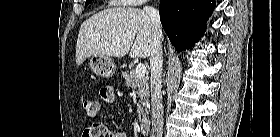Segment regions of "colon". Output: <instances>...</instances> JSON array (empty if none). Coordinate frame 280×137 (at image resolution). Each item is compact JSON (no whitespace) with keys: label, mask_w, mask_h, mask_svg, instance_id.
<instances>
[{"label":"colon","mask_w":280,"mask_h":137,"mask_svg":"<svg viewBox=\"0 0 280 137\" xmlns=\"http://www.w3.org/2000/svg\"><path fill=\"white\" fill-rule=\"evenodd\" d=\"M102 99L105 102H112V101L115 100V94H114V92H109L107 90H102ZM82 105H83V110L90 117L96 116L99 112V104L95 100L85 99V100H83ZM90 137H100V134L94 132L90 135Z\"/></svg>","instance_id":"5ec220e1"}]
</instances>
